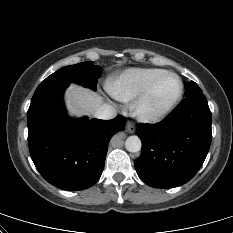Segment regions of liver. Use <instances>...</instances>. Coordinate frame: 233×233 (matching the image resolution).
<instances>
[{
    "mask_svg": "<svg viewBox=\"0 0 233 233\" xmlns=\"http://www.w3.org/2000/svg\"><path fill=\"white\" fill-rule=\"evenodd\" d=\"M102 102L99 95L81 86L71 85L66 92L67 108L71 115H91Z\"/></svg>",
    "mask_w": 233,
    "mask_h": 233,
    "instance_id": "obj_1",
    "label": "liver"
}]
</instances>
